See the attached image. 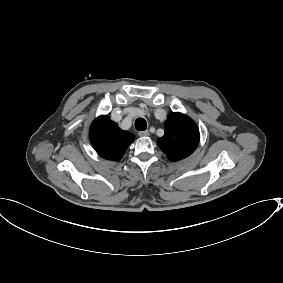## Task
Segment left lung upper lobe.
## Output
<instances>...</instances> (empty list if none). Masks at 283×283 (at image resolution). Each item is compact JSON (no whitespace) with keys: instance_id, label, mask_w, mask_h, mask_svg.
Returning <instances> with one entry per match:
<instances>
[{"instance_id":"left-lung-upper-lobe-1","label":"left lung upper lobe","mask_w":283,"mask_h":283,"mask_svg":"<svg viewBox=\"0 0 283 283\" xmlns=\"http://www.w3.org/2000/svg\"><path fill=\"white\" fill-rule=\"evenodd\" d=\"M164 131V136L157 140V144L172 162L191 155L199 143L200 134L197 125L182 113L169 114L164 124Z\"/></svg>"}]
</instances>
